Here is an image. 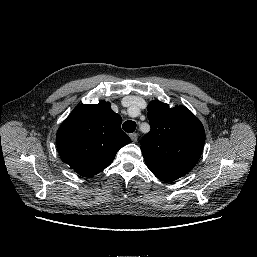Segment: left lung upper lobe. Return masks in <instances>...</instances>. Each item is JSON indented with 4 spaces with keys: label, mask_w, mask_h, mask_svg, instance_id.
<instances>
[{
    "label": "left lung upper lobe",
    "mask_w": 257,
    "mask_h": 257,
    "mask_svg": "<svg viewBox=\"0 0 257 257\" xmlns=\"http://www.w3.org/2000/svg\"><path fill=\"white\" fill-rule=\"evenodd\" d=\"M151 130L141 140L145 162L152 173L180 178L198 162L205 143L202 123L185 106L170 108L158 100L148 105Z\"/></svg>",
    "instance_id": "5c2ea615"
}]
</instances>
